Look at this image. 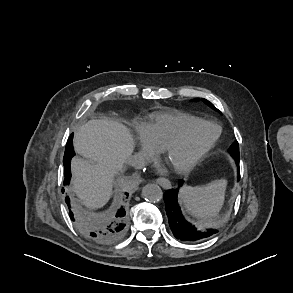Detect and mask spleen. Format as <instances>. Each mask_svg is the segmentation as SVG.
Returning <instances> with one entry per match:
<instances>
[{
    "label": "spleen",
    "instance_id": "1",
    "mask_svg": "<svg viewBox=\"0 0 293 293\" xmlns=\"http://www.w3.org/2000/svg\"><path fill=\"white\" fill-rule=\"evenodd\" d=\"M227 181L219 179L203 186H184L180 199L194 216L204 220L217 217L225 200Z\"/></svg>",
    "mask_w": 293,
    "mask_h": 293
}]
</instances>
